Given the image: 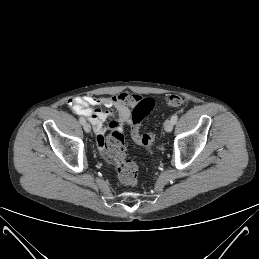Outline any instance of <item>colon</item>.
Listing matches in <instances>:
<instances>
[{"label":"colon","mask_w":259,"mask_h":259,"mask_svg":"<svg viewBox=\"0 0 259 259\" xmlns=\"http://www.w3.org/2000/svg\"><path fill=\"white\" fill-rule=\"evenodd\" d=\"M168 107H178L186 102L182 95H170L165 99ZM154 107V100L141 98L132 112L131 135L133 140L141 146L149 147L153 144L155 136L152 132H140L142 121ZM106 158L115 166L118 179L121 183L134 186L138 182V166L127 159L124 136L120 130L114 129L104 142Z\"/></svg>","instance_id":"5ec220e1"}]
</instances>
